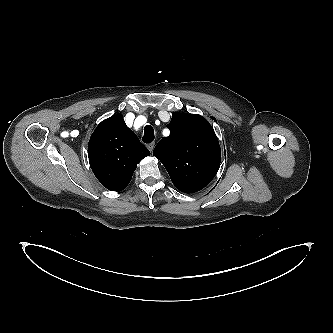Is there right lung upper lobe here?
<instances>
[{
  "mask_svg": "<svg viewBox=\"0 0 333 333\" xmlns=\"http://www.w3.org/2000/svg\"><path fill=\"white\" fill-rule=\"evenodd\" d=\"M149 150L130 130L121 114L102 121L89 140L88 157L100 183L111 191H121L131 181L137 164Z\"/></svg>",
  "mask_w": 333,
  "mask_h": 333,
  "instance_id": "cb5924a9",
  "label": "right lung upper lobe"
}]
</instances>
